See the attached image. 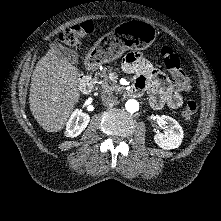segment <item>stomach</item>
<instances>
[{
  "instance_id": "stomach-1",
  "label": "stomach",
  "mask_w": 221,
  "mask_h": 221,
  "mask_svg": "<svg viewBox=\"0 0 221 221\" xmlns=\"http://www.w3.org/2000/svg\"><path fill=\"white\" fill-rule=\"evenodd\" d=\"M156 34L142 22L131 21L115 27L111 34L101 37L87 54L88 62L93 65H102L112 62L128 49H144L150 45Z\"/></svg>"
}]
</instances>
